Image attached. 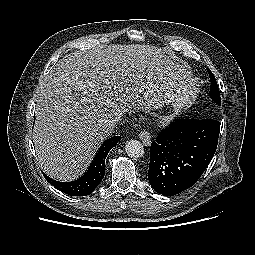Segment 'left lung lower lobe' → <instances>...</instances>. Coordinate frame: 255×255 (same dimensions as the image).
<instances>
[{"label": "left lung lower lobe", "mask_w": 255, "mask_h": 255, "mask_svg": "<svg viewBox=\"0 0 255 255\" xmlns=\"http://www.w3.org/2000/svg\"><path fill=\"white\" fill-rule=\"evenodd\" d=\"M220 122L182 118L151 144L148 179L159 194L176 195L201 177L216 151Z\"/></svg>", "instance_id": "1"}]
</instances>
